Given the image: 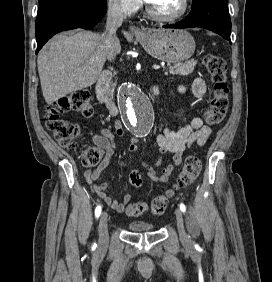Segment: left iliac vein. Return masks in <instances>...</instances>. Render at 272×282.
<instances>
[{"mask_svg": "<svg viewBox=\"0 0 272 282\" xmlns=\"http://www.w3.org/2000/svg\"><path fill=\"white\" fill-rule=\"evenodd\" d=\"M175 214H176V222L179 231L180 241L185 246H189L191 241L184 227L183 213L180 209H176Z\"/></svg>", "mask_w": 272, "mask_h": 282, "instance_id": "left-iliac-vein-1", "label": "left iliac vein"}]
</instances>
